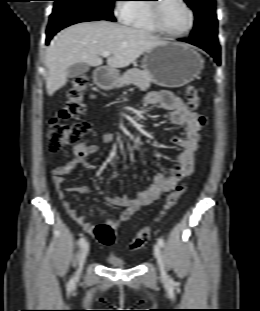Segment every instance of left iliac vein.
<instances>
[{"instance_id":"obj_1","label":"left iliac vein","mask_w":260,"mask_h":311,"mask_svg":"<svg viewBox=\"0 0 260 311\" xmlns=\"http://www.w3.org/2000/svg\"><path fill=\"white\" fill-rule=\"evenodd\" d=\"M154 256H155V258H156V260L158 262L161 274L163 276H165L166 273H165L163 255H162L161 248H160V246L158 244H155V246H154Z\"/></svg>"}]
</instances>
